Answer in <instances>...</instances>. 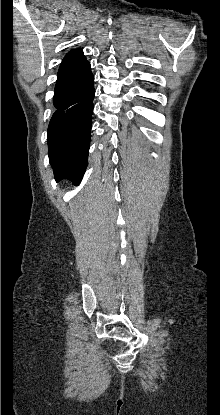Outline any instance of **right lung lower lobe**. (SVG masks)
<instances>
[{
  "instance_id": "obj_1",
  "label": "right lung lower lobe",
  "mask_w": 220,
  "mask_h": 415,
  "mask_svg": "<svg viewBox=\"0 0 220 415\" xmlns=\"http://www.w3.org/2000/svg\"><path fill=\"white\" fill-rule=\"evenodd\" d=\"M94 76L87 60L58 71L48 127V155L56 181L79 183L87 167Z\"/></svg>"
}]
</instances>
